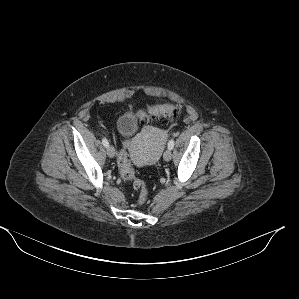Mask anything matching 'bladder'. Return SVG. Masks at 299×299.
Masks as SVG:
<instances>
[{
  "label": "bladder",
  "instance_id": "obj_1",
  "mask_svg": "<svg viewBox=\"0 0 299 299\" xmlns=\"http://www.w3.org/2000/svg\"><path fill=\"white\" fill-rule=\"evenodd\" d=\"M138 130L136 117L130 112L122 113L117 120V131L122 138L133 137Z\"/></svg>",
  "mask_w": 299,
  "mask_h": 299
}]
</instances>
